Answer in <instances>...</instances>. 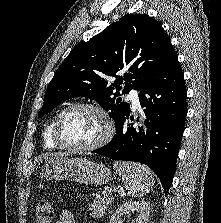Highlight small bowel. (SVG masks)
<instances>
[{"label":"small bowel","mask_w":221,"mask_h":223,"mask_svg":"<svg viewBox=\"0 0 221 223\" xmlns=\"http://www.w3.org/2000/svg\"><path fill=\"white\" fill-rule=\"evenodd\" d=\"M55 223H76L74 215L68 209H63Z\"/></svg>","instance_id":"obj_1"}]
</instances>
